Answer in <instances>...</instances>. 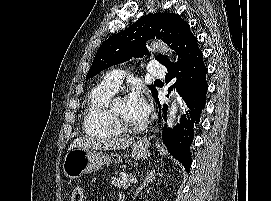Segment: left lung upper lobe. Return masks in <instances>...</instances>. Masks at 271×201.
I'll return each instance as SVG.
<instances>
[{
    "mask_svg": "<svg viewBox=\"0 0 271 201\" xmlns=\"http://www.w3.org/2000/svg\"><path fill=\"white\" fill-rule=\"evenodd\" d=\"M165 41L172 49L190 42L196 38L190 31V26L178 14L155 13L138 19L128 29L109 37L99 47L92 66L86 75V80L97 75L112 65L129 60L131 57H141L146 53L145 42L153 38ZM156 59L166 66L170 61L165 56L157 55ZM152 94L156 92L150 85Z\"/></svg>",
    "mask_w": 271,
    "mask_h": 201,
    "instance_id": "obj_1",
    "label": "left lung upper lobe"
}]
</instances>
